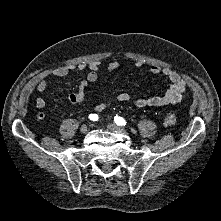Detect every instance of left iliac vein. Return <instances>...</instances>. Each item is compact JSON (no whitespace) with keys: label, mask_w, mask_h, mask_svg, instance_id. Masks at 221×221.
<instances>
[{"label":"left iliac vein","mask_w":221,"mask_h":221,"mask_svg":"<svg viewBox=\"0 0 221 221\" xmlns=\"http://www.w3.org/2000/svg\"><path fill=\"white\" fill-rule=\"evenodd\" d=\"M107 128H108L109 130H111V131H118V132H121V133H123V134H127V131H126L124 128H122V127H120L119 125L114 124V123L108 124V125H107Z\"/></svg>","instance_id":"left-iliac-vein-1"}]
</instances>
